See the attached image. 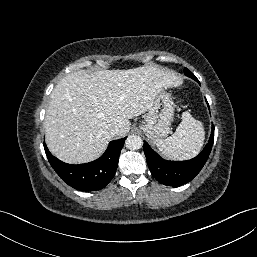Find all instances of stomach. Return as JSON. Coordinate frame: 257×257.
<instances>
[{
    "instance_id": "1",
    "label": "stomach",
    "mask_w": 257,
    "mask_h": 257,
    "mask_svg": "<svg viewBox=\"0 0 257 257\" xmlns=\"http://www.w3.org/2000/svg\"><path fill=\"white\" fill-rule=\"evenodd\" d=\"M174 103L169 93L160 91L144 117L140 128L151 140L162 139L170 133Z\"/></svg>"
}]
</instances>
